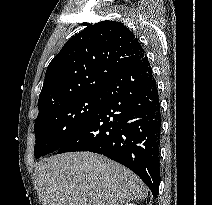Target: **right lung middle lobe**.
<instances>
[{
    "instance_id": "1",
    "label": "right lung middle lobe",
    "mask_w": 212,
    "mask_h": 205,
    "mask_svg": "<svg viewBox=\"0 0 212 205\" xmlns=\"http://www.w3.org/2000/svg\"><path fill=\"white\" fill-rule=\"evenodd\" d=\"M101 104V92L85 94L66 101L35 120L34 155L39 158L57 151Z\"/></svg>"
}]
</instances>
